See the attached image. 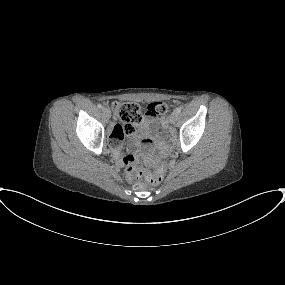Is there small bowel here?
I'll list each match as a JSON object with an SVG mask.
<instances>
[{
	"label": "small bowel",
	"mask_w": 285,
	"mask_h": 285,
	"mask_svg": "<svg viewBox=\"0 0 285 285\" xmlns=\"http://www.w3.org/2000/svg\"><path fill=\"white\" fill-rule=\"evenodd\" d=\"M154 118L148 116L145 121L138 125L134 132H132L129 136L133 140V153L131 154L134 158L138 157L139 151L141 149V141L146 139L153 131L154 126ZM125 136V132H123L118 125L114 127L111 133V149H112V157L114 160L121 164L122 161V142ZM126 179L128 181L132 180V175L127 173Z\"/></svg>",
	"instance_id": "1"
}]
</instances>
